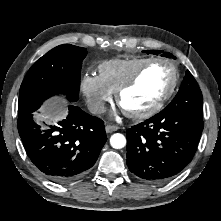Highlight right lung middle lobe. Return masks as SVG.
I'll list each match as a JSON object with an SVG mask.
<instances>
[{"label": "right lung middle lobe", "instance_id": "1", "mask_svg": "<svg viewBox=\"0 0 221 221\" xmlns=\"http://www.w3.org/2000/svg\"><path fill=\"white\" fill-rule=\"evenodd\" d=\"M86 55L85 48L64 44L36 61L20 87L18 117L33 113L45 100L57 94L77 101L81 66Z\"/></svg>", "mask_w": 221, "mask_h": 221}]
</instances>
